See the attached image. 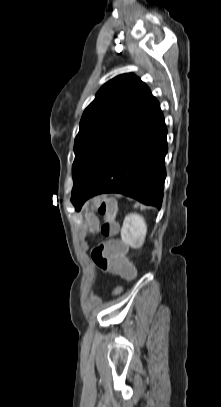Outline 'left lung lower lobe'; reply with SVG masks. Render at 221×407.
I'll return each mask as SVG.
<instances>
[{"label": "left lung lower lobe", "instance_id": "obj_1", "mask_svg": "<svg viewBox=\"0 0 221 407\" xmlns=\"http://www.w3.org/2000/svg\"><path fill=\"white\" fill-rule=\"evenodd\" d=\"M160 105L151 96L119 135L87 183L71 200L79 211L98 194L121 193L161 207L168 151Z\"/></svg>", "mask_w": 221, "mask_h": 407}]
</instances>
